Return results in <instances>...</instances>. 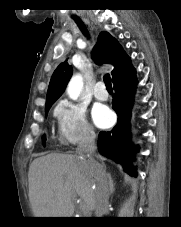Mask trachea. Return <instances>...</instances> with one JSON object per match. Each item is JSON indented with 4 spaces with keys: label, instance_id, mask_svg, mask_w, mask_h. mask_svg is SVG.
Instances as JSON below:
<instances>
[{
    "label": "trachea",
    "instance_id": "obj_1",
    "mask_svg": "<svg viewBox=\"0 0 181 227\" xmlns=\"http://www.w3.org/2000/svg\"><path fill=\"white\" fill-rule=\"evenodd\" d=\"M81 31L87 35V30L84 24L80 20H75ZM105 86L107 89H112V83H111V78L109 74H105L103 77Z\"/></svg>",
    "mask_w": 181,
    "mask_h": 227
}]
</instances>
